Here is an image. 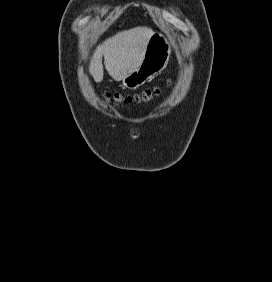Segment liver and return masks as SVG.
I'll return each mask as SVG.
<instances>
[{"label": "liver", "instance_id": "obj_1", "mask_svg": "<svg viewBox=\"0 0 272 282\" xmlns=\"http://www.w3.org/2000/svg\"><path fill=\"white\" fill-rule=\"evenodd\" d=\"M152 33L148 27H135L119 32L99 45L89 65L95 82L103 80L102 56L108 74L116 81L123 80L138 69Z\"/></svg>", "mask_w": 272, "mask_h": 282}]
</instances>
